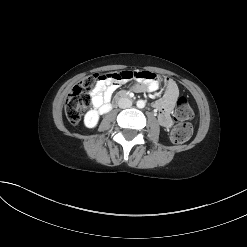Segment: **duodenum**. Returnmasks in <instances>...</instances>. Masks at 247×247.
Listing matches in <instances>:
<instances>
[{
  "mask_svg": "<svg viewBox=\"0 0 247 247\" xmlns=\"http://www.w3.org/2000/svg\"><path fill=\"white\" fill-rule=\"evenodd\" d=\"M127 97H128L127 90H120V93H115L113 103H112V108H117L120 98H127Z\"/></svg>",
  "mask_w": 247,
  "mask_h": 247,
  "instance_id": "1",
  "label": "duodenum"
}]
</instances>
